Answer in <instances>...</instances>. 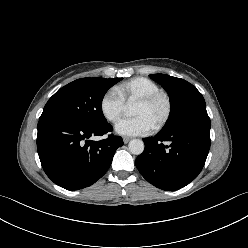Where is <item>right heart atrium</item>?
Here are the masks:
<instances>
[{
    "label": "right heart atrium",
    "instance_id": "1",
    "mask_svg": "<svg viewBox=\"0 0 248 248\" xmlns=\"http://www.w3.org/2000/svg\"><path fill=\"white\" fill-rule=\"evenodd\" d=\"M125 102L115 90L106 91L100 101V111L109 122H116L121 117Z\"/></svg>",
    "mask_w": 248,
    "mask_h": 248
}]
</instances>
